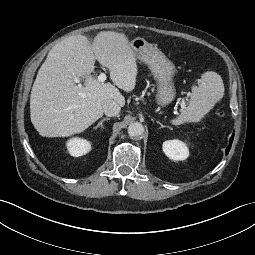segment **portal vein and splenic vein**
I'll return each instance as SVG.
<instances>
[{"instance_id":"portal-vein-and-splenic-vein-1","label":"portal vein and splenic vein","mask_w":255,"mask_h":255,"mask_svg":"<svg viewBox=\"0 0 255 255\" xmlns=\"http://www.w3.org/2000/svg\"><path fill=\"white\" fill-rule=\"evenodd\" d=\"M106 74L105 73H101L98 77H97V80L99 81V82H104L105 80H106ZM75 82L76 83H78V86H82V84H81V81H80V79H75Z\"/></svg>"}]
</instances>
